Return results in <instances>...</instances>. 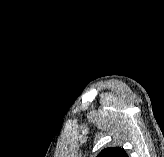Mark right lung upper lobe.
Returning a JSON list of instances; mask_svg holds the SVG:
<instances>
[{
  "mask_svg": "<svg viewBox=\"0 0 164 157\" xmlns=\"http://www.w3.org/2000/svg\"><path fill=\"white\" fill-rule=\"evenodd\" d=\"M96 157H129L124 149L120 147L106 148L102 150Z\"/></svg>",
  "mask_w": 164,
  "mask_h": 157,
  "instance_id": "cb5924a9",
  "label": "right lung upper lobe"
}]
</instances>
